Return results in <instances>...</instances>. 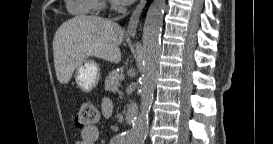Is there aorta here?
<instances>
[{"label": "aorta", "instance_id": "1", "mask_svg": "<svg viewBox=\"0 0 273 144\" xmlns=\"http://www.w3.org/2000/svg\"><path fill=\"white\" fill-rule=\"evenodd\" d=\"M165 0H153L146 14L143 28V70L140 78L141 111L132 128L121 134L119 144H143L148 133L149 116L159 74L160 36Z\"/></svg>", "mask_w": 273, "mask_h": 144}]
</instances>
